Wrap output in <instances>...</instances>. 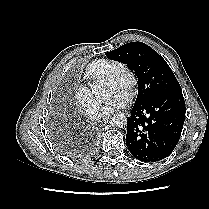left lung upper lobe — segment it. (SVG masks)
<instances>
[{"mask_svg":"<svg viewBox=\"0 0 209 209\" xmlns=\"http://www.w3.org/2000/svg\"><path fill=\"white\" fill-rule=\"evenodd\" d=\"M106 55L110 59L127 63L135 71L138 77V95L134 105L182 91L167 62L142 42L124 44Z\"/></svg>","mask_w":209,"mask_h":209,"instance_id":"obj_1","label":"left lung upper lobe"}]
</instances>
